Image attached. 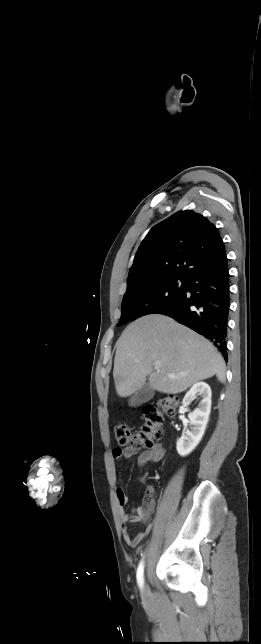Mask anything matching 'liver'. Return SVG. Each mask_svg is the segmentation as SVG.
I'll use <instances>...</instances> for the list:
<instances>
[{"label":"liver","instance_id":"1","mask_svg":"<svg viewBox=\"0 0 261 644\" xmlns=\"http://www.w3.org/2000/svg\"><path fill=\"white\" fill-rule=\"evenodd\" d=\"M155 362L161 363L158 370L153 368ZM214 375L220 382L225 381L226 366L218 350L204 337L164 315L137 319L116 343L113 377L120 397L141 389L147 376L153 390L177 394Z\"/></svg>","mask_w":261,"mask_h":644}]
</instances>
